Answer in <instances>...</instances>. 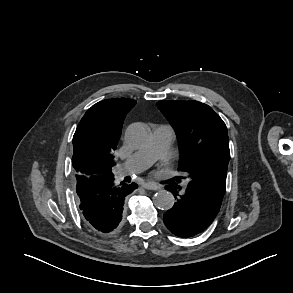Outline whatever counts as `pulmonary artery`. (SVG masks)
<instances>
[{"label":"pulmonary artery","instance_id":"1","mask_svg":"<svg viewBox=\"0 0 293 293\" xmlns=\"http://www.w3.org/2000/svg\"><path fill=\"white\" fill-rule=\"evenodd\" d=\"M174 140L175 133L171 126H157L153 131L150 143L123 163L117 171V177L122 178L147 169L153 162L163 156Z\"/></svg>","mask_w":293,"mask_h":293}]
</instances>
